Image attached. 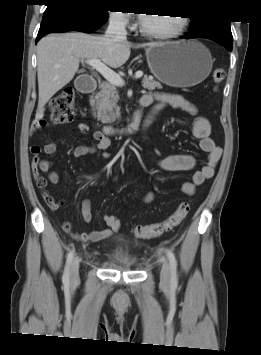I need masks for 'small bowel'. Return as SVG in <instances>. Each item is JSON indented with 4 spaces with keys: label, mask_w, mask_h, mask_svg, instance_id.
I'll list each match as a JSON object with an SVG mask.
<instances>
[{
    "label": "small bowel",
    "mask_w": 261,
    "mask_h": 355,
    "mask_svg": "<svg viewBox=\"0 0 261 355\" xmlns=\"http://www.w3.org/2000/svg\"><path fill=\"white\" fill-rule=\"evenodd\" d=\"M152 104H154V107L151 114L146 118V126L150 123L153 114L164 107L180 109L194 116L193 135L199 139L200 148L206 153V162L199 170L193 173L190 181H186L181 185V191L188 196H192L197 186L213 177L215 167L222 154L221 148L216 146L211 138L210 122L205 116L198 114L196 106L190 100L180 95L150 92L141 98V108L149 107ZM137 112L140 113L139 110ZM40 128L41 126L38 125L37 121L33 122L30 128L31 135ZM78 129L83 135L89 132V126L86 123H79ZM93 141L90 145L76 147L73 151L74 157L80 158L86 155H98L104 159H108L109 154L104 152V150L110 146L111 139L98 130L93 133ZM56 151L57 145L54 142L47 143L43 147L39 145H32L30 147V153L32 154V176L38 188L42 191L46 204L52 210L59 209L63 205V201H56L46 190V187L48 183L57 184L59 182V174L52 169V161L50 159H42L40 155L43 152L48 157H53ZM195 165L196 159L191 154L169 155L158 161V166L161 169L171 172L191 171ZM41 172L47 173V178L42 176ZM154 198V192H147L143 197V202L150 203ZM80 211L83 221L89 223L92 219L91 202L89 199L85 198L81 202ZM103 220L108 229L78 233L73 230V226L69 221L62 222V229L76 240L84 243H97L108 238L112 233L118 232L121 228V223L115 215L105 214Z\"/></svg>",
    "instance_id": "c3829d8e"
}]
</instances>
